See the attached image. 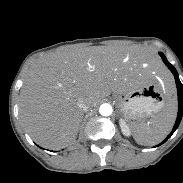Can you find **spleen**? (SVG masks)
Listing matches in <instances>:
<instances>
[{
	"label": "spleen",
	"instance_id": "3e777b00",
	"mask_svg": "<svg viewBox=\"0 0 183 183\" xmlns=\"http://www.w3.org/2000/svg\"><path fill=\"white\" fill-rule=\"evenodd\" d=\"M176 113V102L174 100H169L160 113L152 115L149 122H133L131 124V129L135 141L138 144L145 146L160 143L172 130Z\"/></svg>",
	"mask_w": 183,
	"mask_h": 183
}]
</instances>
